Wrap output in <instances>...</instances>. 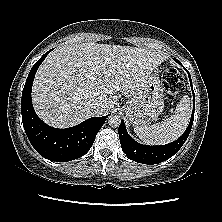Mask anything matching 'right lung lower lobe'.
Wrapping results in <instances>:
<instances>
[{
    "label": "right lung lower lobe",
    "instance_id": "1",
    "mask_svg": "<svg viewBox=\"0 0 222 222\" xmlns=\"http://www.w3.org/2000/svg\"><path fill=\"white\" fill-rule=\"evenodd\" d=\"M50 51L33 65L27 77L21 100L22 122L30 143L41 156L52 161L66 162L88 152L108 115L89 118L67 129L53 128L38 118L31 101L32 84L38 67Z\"/></svg>",
    "mask_w": 222,
    "mask_h": 222
}]
</instances>
